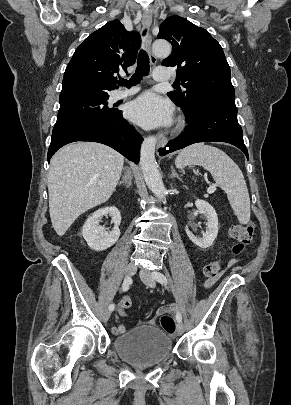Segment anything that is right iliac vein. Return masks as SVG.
Listing matches in <instances>:
<instances>
[{
	"mask_svg": "<svg viewBox=\"0 0 291 405\" xmlns=\"http://www.w3.org/2000/svg\"><path fill=\"white\" fill-rule=\"evenodd\" d=\"M136 270H137V266L134 263H129L126 266L125 275L130 277V276H132V275H134L136 273ZM110 315H111V311L109 309H106L103 312V320L105 322L108 321V319L110 318Z\"/></svg>",
	"mask_w": 291,
	"mask_h": 405,
	"instance_id": "63e3f726",
	"label": "right iliac vein"
}]
</instances>
